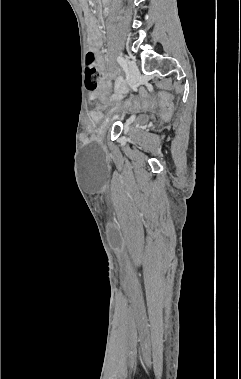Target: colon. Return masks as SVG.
Masks as SVG:
<instances>
[{"mask_svg":"<svg viewBox=\"0 0 241 379\" xmlns=\"http://www.w3.org/2000/svg\"><path fill=\"white\" fill-rule=\"evenodd\" d=\"M99 77H100V73L98 71V68H97V62H96V58H95V55L92 53V52H88L87 53V56H86V86H92V85H95L97 86L98 85V81H99ZM113 93V88L112 87H105V88H102L101 89V98L102 99H107L109 97L110 94ZM143 95H141V99H138V98H135V99H131V98H123L122 99V104L123 105H126L128 109H133V108H144V104L145 102H148V101H145L146 98H150V97H146L148 96V91H143L142 93ZM152 99H150V104L154 105L156 104V102L158 103L157 105L159 106V108L162 110V112L165 114V115H169L171 113V110H175V103H168L165 98L163 97H159L156 99H154L153 97H151Z\"/></svg>","mask_w":241,"mask_h":379,"instance_id":"1","label":"colon"}]
</instances>
